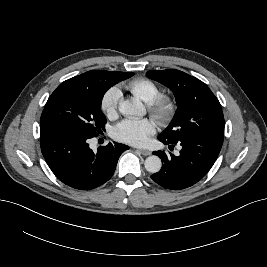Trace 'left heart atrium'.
Listing matches in <instances>:
<instances>
[{
  "instance_id": "obj_1",
  "label": "left heart atrium",
  "mask_w": 267,
  "mask_h": 267,
  "mask_svg": "<svg viewBox=\"0 0 267 267\" xmlns=\"http://www.w3.org/2000/svg\"><path fill=\"white\" fill-rule=\"evenodd\" d=\"M156 132V124L151 119H125L113 129V137L123 143L143 146Z\"/></svg>"
}]
</instances>
